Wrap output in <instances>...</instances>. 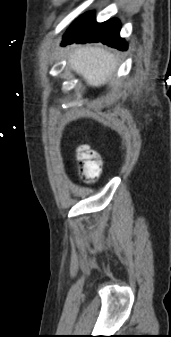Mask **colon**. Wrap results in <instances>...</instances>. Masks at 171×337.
<instances>
[{
    "label": "colon",
    "mask_w": 171,
    "mask_h": 337,
    "mask_svg": "<svg viewBox=\"0 0 171 337\" xmlns=\"http://www.w3.org/2000/svg\"><path fill=\"white\" fill-rule=\"evenodd\" d=\"M75 156L83 177L88 181H95L103 168V160L100 154L88 145L80 144L75 147Z\"/></svg>",
    "instance_id": "obj_1"
}]
</instances>
